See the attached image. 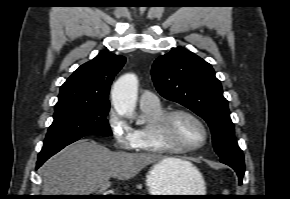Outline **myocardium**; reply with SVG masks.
I'll use <instances>...</instances> for the list:
<instances>
[{
	"instance_id": "myocardium-1",
	"label": "myocardium",
	"mask_w": 290,
	"mask_h": 199,
	"mask_svg": "<svg viewBox=\"0 0 290 199\" xmlns=\"http://www.w3.org/2000/svg\"><path fill=\"white\" fill-rule=\"evenodd\" d=\"M178 115L190 117L201 126L203 130V140L200 144L192 147H184L169 139L168 134L171 121ZM154 136L156 141L167 151L178 154H187L195 152L207 144L209 139V131L204 121L194 112L187 109H173L165 112V114L155 122Z\"/></svg>"
}]
</instances>
